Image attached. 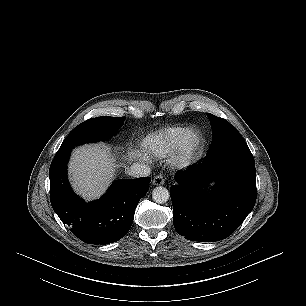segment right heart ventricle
I'll return each instance as SVG.
<instances>
[{
  "instance_id": "right-heart-ventricle-1",
  "label": "right heart ventricle",
  "mask_w": 306,
  "mask_h": 306,
  "mask_svg": "<svg viewBox=\"0 0 306 306\" xmlns=\"http://www.w3.org/2000/svg\"><path fill=\"white\" fill-rule=\"evenodd\" d=\"M186 130L182 126L163 128L150 134L145 140V146L157 157H164L176 150L178 141Z\"/></svg>"
}]
</instances>
